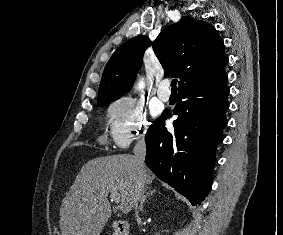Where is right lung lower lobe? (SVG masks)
<instances>
[{
  "label": "right lung lower lobe",
  "instance_id": "obj_1",
  "mask_svg": "<svg viewBox=\"0 0 283 235\" xmlns=\"http://www.w3.org/2000/svg\"><path fill=\"white\" fill-rule=\"evenodd\" d=\"M227 77L223 71L178 89L174 132L167 131L162 119L169 113L164 112L146 134L147 166L192 205H199L212 185L215 150L228 123Z\"/></svg>",
  "mask_w": 283,
  "mask_h": 235
}]
</instances>
